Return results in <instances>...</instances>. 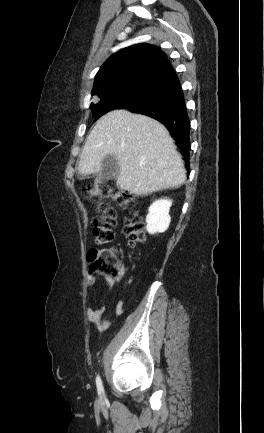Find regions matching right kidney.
Wrapping results in <instances>:
<instances>
[{
	"instance_id": "ca27d5eb",
	"label": "right kidney",
	"mask_w": 264,
	"mask_h": 433,
	"mask_svg": "<svg viewBox=\"0 0 264 433\" xmlns=\"http://www.w3.org/2000/svg\"><path fill=\"white\" fill-rule=\"evenodd\" d=\"M171 205L172 201L168 199H159L151 204L146 216V229L150 234L163 233L168 229L171 222Z\"/></svg>"
}]
</instances>
